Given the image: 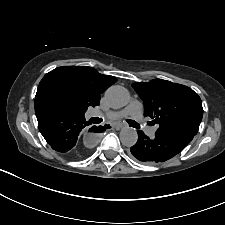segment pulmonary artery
<instances>
[{
  "instance_id": "e3ab8cb5",
  "label": "pulmonary artery",
  "mask_w": 225,
  "mask_h": 225,
  "mask_svg": "<svg viewBox=\"0 0 225 225\" xmlns=\"http://www.w3.org/2000/svg\"><path fill=\"white\" fill-rule=\"evenodd\" d=\"M94 117H103L109 120L119 119L125 116H130L133 120L137 122H143V104L139 100H133L130 104L122 110L111 111L107 113H102L100 111H94L92 113ZM146 133L150 137H154L156 128L155 127H146Z\"/></svg>"
}]
</instances>
